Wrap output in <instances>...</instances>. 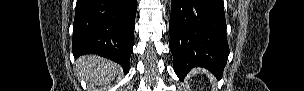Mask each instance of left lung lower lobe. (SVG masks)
I'll use <instances>...</instances> for the list:
<instances>
[{
  "label": "left lung lower lobe",
  "instance_id": "0a47b994",
  "mask_svg": "<svg viewBox=\"0 0 304 91\" xmlns=\"http://www.w3.org/2000/svg\"><path fill=\"white\" fill-rule=\"evenodd\" d=\"M226 28L223 0H173L169 46L181 80L193 67L222 77L230 52Z\"/></svg>",
  "mask_w": 304,
  "mask_h": 91
}]
</instances>
